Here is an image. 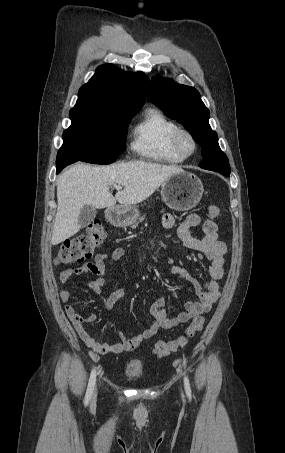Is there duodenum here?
Listing matches in <instances>:
<instances>
[{
    "label": "duodenum",
    "mask_w": 285,
    "mask_h": 453,
    "mask_svg": "<svg viewBox=\"0 0 285 453\" xmlns=\"http://www.w3.org/2000/svg\"><path fill=\"white\" fill-rule=\"evenodd\" d=\"M108 219L111 221V222H114L115 219H116V212L114 209H110L109 212H108Z\"/></svg>",
    "instance_id": "obj_1"
}]
</instances>
